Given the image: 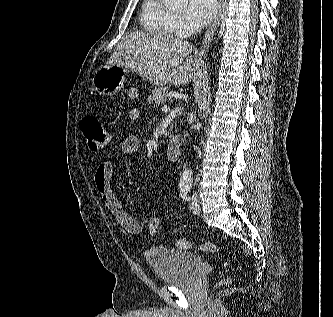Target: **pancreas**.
Masks as SVG:
<instances>
[{"label":"pancreas","mask_w":333,"mask_h":317,"mask_svg":"<svg viewBox=\"0 0 333 317\" xmlns=\"http://www.w3.org/2000/svg\"><path fill=\"white\" fill-rule=\"evenodd\" d=\"M168 87H161V88H155L151 91L150 95L148 96V102L149 103H155L156 105H159L160 103L167 100L168 96Z\"/></svg>","instance_id":"cf45deb5"}]
</instances>
